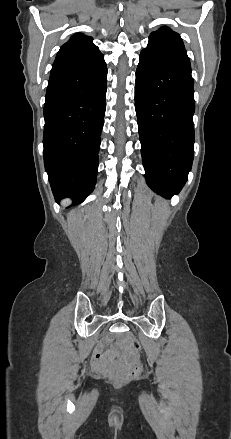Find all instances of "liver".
<instances>
[{"mask_svg": "<svg viewBox=\"0 0 231 439\" xmlns=\"http://www.w3.org/2000/svg\"><path fill=\"white\" fill-rule=\"evenodd\" d=\"M67 203H69V201H68V200L64 201V204H67Z\"/></svg>", "mask_w": 231, "mask_h": 439, "instance_id": "1", "label": "liver"}]
</instances>
